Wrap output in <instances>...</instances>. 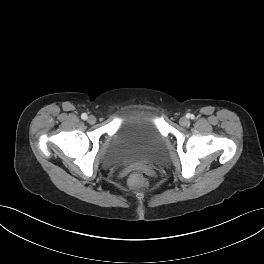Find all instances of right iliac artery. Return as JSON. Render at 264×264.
Segmentation results:
<instances>
[{"label": "right iliac artery", "mask_w": 264, "mask_h": 264, "mask_svg": "<svg viewBox=\"0 0 264 264\" xmlns=\"http://www.w3.org/2000/svg\"><path fill=\"white\" fill-rule=\"evenodd\" d=\"M81 118L83 119V120H86L88 117H87V114L86 113H83L82 115H81Z\"/></svg>", "instance_id": "82829eb1"}]
</instances>
